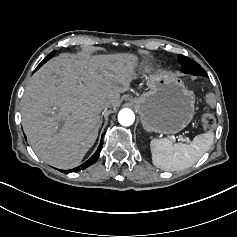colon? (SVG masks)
I'll return each instance as SVG.
<instances>
[{
    "instance_id": "1",
    "label": "colon",
    "mask_w": 237,
    "mask_h": 237,
    "mask_svg": "<svg viewBox=\"0 0 237 237\" xmlns=\"http://www.w3.org/2000/svg\"><path fill=\"white\" fill-rule=\"evenodd\" d=\"M207 102L210 105L216 104V96L213 93L208 94ZM200 123L204 130L211 131L216 124L214 116L210 112H204L200 116Z\"/></svg>"
}]
</instances>
